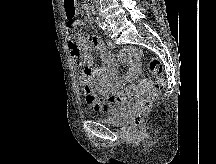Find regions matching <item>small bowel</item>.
Instances as JSON below:
<instances>
[{"instance_id":"small-bowel-1","label":"small bowel","mask_w":216,"mask_h":164,"mask_svg":"<svg viewBox=\"0 0 216 164\" xmlns=\"http://www.w3.org/2000/svg\"><path fill=\"white\" fill-rule=\"evenodd\" d=\"M76 25L82 26L78 20ZM69 53L79 67L82 68L80 83L83 86L85 101L96 112L113 115L117 106L116 95L128 82L136 79L140 74L139 57L132 47L124 48L120 53V61L128 66L125 76H118V64L104 43L96 36L91 37L90 44L81 34H74L68 43ZM92 49L102 60V66L94 67ZM103 97H108L105 100Z\"/></svg>"}]
</instances>
